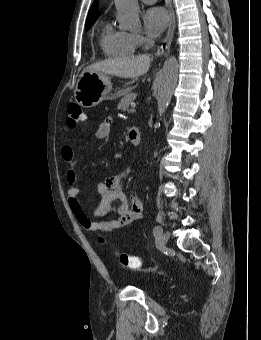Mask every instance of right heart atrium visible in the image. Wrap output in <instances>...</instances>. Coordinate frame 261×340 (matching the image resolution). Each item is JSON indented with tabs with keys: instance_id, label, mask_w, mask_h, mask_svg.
I'll return each mask as SVG.
<instances>
[{
	"instance_id": "1",
	"label": "right heart atrium",
	"mask_w": 261,
	"mask_h": 340,
	"mask_svg": "<svg viewBox=\"0 0 261 340\" xmlns=\"http://www.w3.org/2000/svg\"><path fill=\"white\" fill-rule=\"evenodd\" d=\"M138 45H142L145 42V38L141 34H133Z\"/></svg>"
}]
</instances>
